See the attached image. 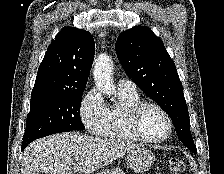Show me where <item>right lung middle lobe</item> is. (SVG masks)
<instances>
[{"instance_id": "dd1d6c3e", "label": "right lung middle lobe", "mask_w": 224, "mask_h": 174, "mask_svg": "<svg viewBox=\"0 0 224 174\" xmlns=\"http://www.w3.org/2000/svg\"><path fill=\"white\" fill-rule=\"evenodd\" d=\"M82 94L31 97L23 143L29 144L51 134L84 129L80 119Z\"/></svg>"}]
</instances>
